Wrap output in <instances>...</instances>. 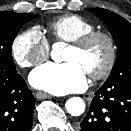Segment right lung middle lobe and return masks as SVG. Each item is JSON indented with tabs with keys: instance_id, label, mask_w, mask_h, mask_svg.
I'll return each instance as SVG.
<instances>
[{
	"instance_id": "1",
	"label": "right lung middle lobe",
	"mask_w": 131,
	"mask_h": 131,
	"mask_svg": "<svg viewBox=\"0 0 131 131\" xmlns=\"http://www.w3.org/2000/svg\"><path fill=\"white\" fill-rule=\"evenodd\" d=\"M38 14L0 12V69L16 70L12 58V44L23 24Z\"/></svg>"
}]
</instances>
